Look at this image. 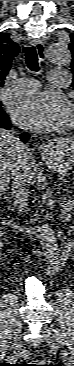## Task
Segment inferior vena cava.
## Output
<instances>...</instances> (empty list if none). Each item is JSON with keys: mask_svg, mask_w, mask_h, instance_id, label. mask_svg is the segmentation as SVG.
I'll return each mask as SVG.
<instances>
[{"mask_svg": "<svg viewBox=\"0 0 74 366\" xmlns=\"http://www.w3.org/2000/svg\"><path fill=\"white\" fill-rule=\"evenodd\" d=\"M20 151L22 152L21 157H23V159L19 162V166L17 171L13 174L11 182L14 205L18 208L19 212L22 213L27 208L28 201V180L24 172V167L27 160L26 157H29L30 150L28 145L21 144ZM25 230V232H29V229Z\"/></svg>", "mask_w": 74, "mask_h": 366, "instance_id": "inferior-vena-cava-1", "label": "inferior vena cava"}]
</instances>
